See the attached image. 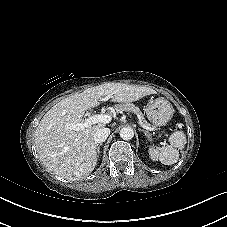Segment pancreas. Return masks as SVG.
<instances>
[{"instance_id": "obj_1", "label": "pancreas", "mask_w": 227, "mask_h": 227, "mask_svg": "<svg viewBox=\"0 0 227 227\" xmlns=\"http://www.w3.org/2000/svg\"><path fill=\"white\" fill-rule=\"evenodd\" d=\"M114 109L116 112L126 111V112L134 113L138 117L140 122H142L145 125H149L147 123V121L145 120L144 115L141 112V110L137 106H135L131 103L124 102L121 104H117L114 106Z\"/></svg>"}]
</instances>
